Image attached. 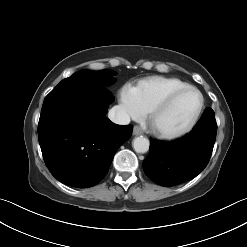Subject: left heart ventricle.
<instances>
[{
	"label": "left heart ventricle",
	"instance_id": "1",
	"mask_svg": "<svg viewBox=\"0 0 247 247\" xmlns=\"http://www.w3.org/2000/svg\"><path fill=\"white\" fill-rule=\"evenodd\" d=\"M200 104L196 92H186L177 97L173 103L155 120L157 128L163 131H177L185 127L193 118Z\"/></svg>",
	"mask_w": 247,
	"mask_h": 247
}]
</instances>
